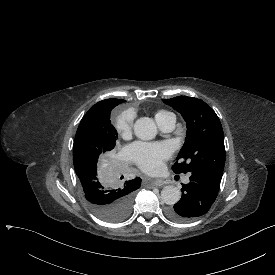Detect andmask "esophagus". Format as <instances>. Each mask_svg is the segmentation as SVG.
I'll use <instances>...</instances> for the list:
<instances>
[{
    "label": "esophagus",
    "instance_id": "34e87169",
    "mask_svg": "<svg viewBox=\"0 0 275 275\" xmlns=\"http://www.w3.org/2000/svg\"><path fill=\"white\" fill-rule=\"evenodd\" d=\"M153 183L155 186H162L164 184V180L160 179V178H156L153 180Z\"/></svg>",
    "mask_w": 275,
    "mask_h": 275
}]
</instances>
